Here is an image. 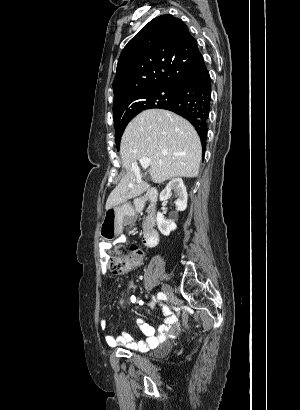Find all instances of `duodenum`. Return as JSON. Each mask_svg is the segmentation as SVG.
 I'll list each match as a JSON object with an SVG mask.
<instances>
[{
	"instance_id": "1",
	"label": "duodenum",
	"mask_w": 300,
	"mask_h": 410,
	"mask_svg": "<svg viewBox=\"0 0 300 410\" xmlns=\"http://www.w3.org/2000/svg\"><path fill=\"white\" fill-rule=\"evenodd\" d=\"M158 191L157 190H150L148 193L149 200L151 203H155L158 199ZM159 241V232L155 227V212L154 209L151 208L149 210V216L147 219V228L145 230L143 236V244L148 248H153L158 244Z\"/></svg>"
}]
</instances>
